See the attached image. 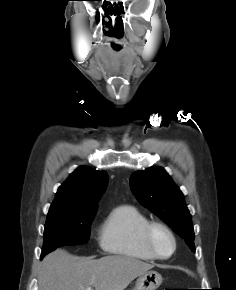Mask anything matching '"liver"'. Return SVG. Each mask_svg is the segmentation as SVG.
<instances>
[{
	"label": "liver",
	"mask_w": 236,
	"mask_h": 290,
	"mask_svg": "<svg viewBox=\"0 0 236 290\" xmlns=\"http://www.w3.org/2000/svg\"><path fill=\"white\" fill-rule=\"evenodd\" d=\"M154 265L133 257H78L57 249L46 255L38 271L39 290H124Z\"/></svg>",
	"instance_id": "obj_1"
}]
</instances>
